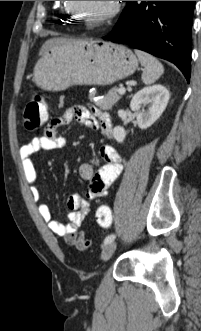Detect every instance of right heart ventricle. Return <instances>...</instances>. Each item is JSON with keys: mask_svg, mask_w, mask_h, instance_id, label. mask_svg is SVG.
Masks as SVG:
<instances>
[{"mask_svg": "<svg viewBox=\"0 0 201 331\" xmlns=\"http://www.w3.org/2000/svg\"><path fill=\"white\" fill-rule=\"evenodd\" d=\"M64 10L66 11V16L72 20L74 18V13L66 8V1L64 2Z\"/></svg>", "mask_w": 201, "mask_h": 331, "instance_id": "1", "label": "right heart ventricle"}]
</instances>
